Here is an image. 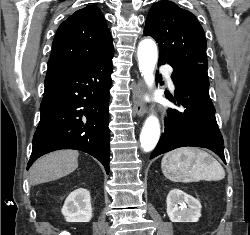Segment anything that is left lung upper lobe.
<instances>
[{
    "instance_id": "1",
    "label": "left lung upper lobe",
    "mask_w": 250,
    "mask_h": 235,
    "mask_svg": "<svg viewBox=\"0 0 250 235\" xmlns=\"http://www.w3.org/2000/svg\"><path fill=\"white\" fill-rule=\"evenodd\" d=\"M144 34L159 44V61L173 68L201 64L207 68L206 39L191 12L171 1H159L146 18Z\"/></svg>"
}]
</instances>
